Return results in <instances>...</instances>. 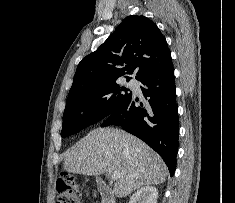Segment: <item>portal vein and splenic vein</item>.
I'll use <instances>...</instances> for the list:
<instances>
[{
	"mask_svg": "<svg viewBox=\"0 0 235 203\" xmlns=\"http://www.w3.org/2000/svg\"><path fill=\"white\" fill-rule=\"evenodd\" d=\"M109 175H110V178L112 180H116V179H118L120 177V173H118V172L109 173Z\"/></svg>",
	"mask_w": 235,
	"mask_h": 203,
	"instance_id": "18ae733b",
	"label": "portal vein and splenic vein"
}]
</instances>
